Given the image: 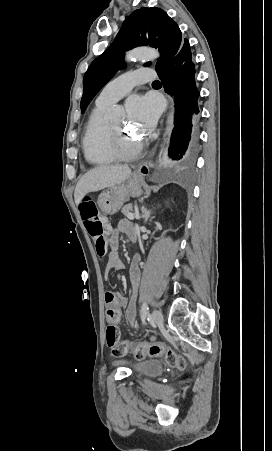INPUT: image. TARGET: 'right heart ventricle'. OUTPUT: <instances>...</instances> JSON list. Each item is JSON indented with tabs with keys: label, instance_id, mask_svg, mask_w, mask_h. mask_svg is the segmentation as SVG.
<instances>
[{
	"label": "right heart ventricle",
	"instance_id": "obj_1",
	"mask_svg": "<svg viewBox=\"0 0 272 451\" xmlns=\"http://www.w3.org/2000/svg\"><path fill=\"white\" fill-rule=\"evenodd\" d=\"M113 103H96L85 130L83 139L85 157L93 164L108 163L115 155L113 143L108 141L106 135L110 124L103 119L104 111Z\"/></svg>",
	"mask_w": 272,
	"mask_h": 451
}]
</instances>
